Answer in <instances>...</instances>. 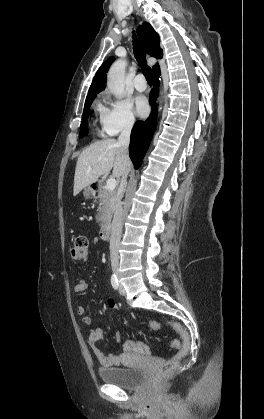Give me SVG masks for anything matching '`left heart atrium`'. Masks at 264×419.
<instances>
[{
  "instance_id": "1",
  "label": "left heart atrium",
  "mask_w": 264,
  "mask_h": 419,
  "mask_svg": "<svg viewBox=\"0 0 264 419\" xmlns=\"http://www.w3.org/2000/svg\"><path fill=\"white\" fill-rule=\"evenodd\" d=\"M136 111L140 116H143L148 111V105L146 98L143 96H138L135 100Z\"/></svg>"
}]
</instances>
